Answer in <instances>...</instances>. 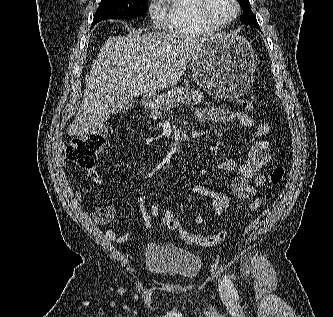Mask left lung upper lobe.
<instances>
[{
	"instance_id": "obj_1",
	"label": "left lung upper lobe",
	"mask_w": 333,
	"mask_h": 317,
	"mask_svg": "<svg viewBox=\"0 0 333 317\" xmlns=\"http://www.w3.org/2000/svg\"><path fill=\"white\" fill-rule=\"evenodd\" d=\"M238 2L241 4L242 8L244 9V14L241 18V22L244 24L252 25L260 30L256 17L251 10L249 0H238Z\"/></svg>"
}]
</instances>
